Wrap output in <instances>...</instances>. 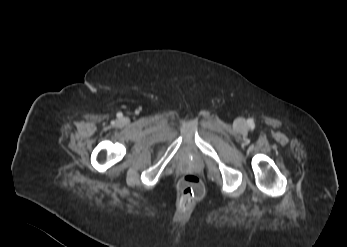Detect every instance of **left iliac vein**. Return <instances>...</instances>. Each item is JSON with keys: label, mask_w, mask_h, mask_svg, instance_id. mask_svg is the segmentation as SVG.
Masks as SVG:
<instances>
[{"label": "left iliac vein", "mask_w": 347, "mask_h": 247, "mask_svg": "<svg viewBox=\"0 0 347 247\" xmlns=\"http://www.w3.org/2000/svg\"><path fill=\"white\" fill-rule=\"evenodd\" d=\"M235 124H236L237 127H242V126L245 125V120L242 119V118H239V119L236 120Z\"/></svg>", "instance_id": "left-iliac-vein-1"}]
</instances>
